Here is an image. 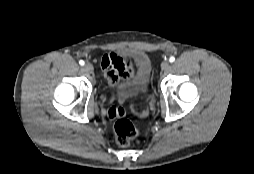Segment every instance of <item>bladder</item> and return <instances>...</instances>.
<instances>
[{
  "instance_id": "obj_1",
  "label": "bladder",
  "mask_w": 254,
  "mask_h": 174,
  "mask_svg": "<svg viewBox=\"0 0 254 174\" xmlns=\"http://www.w3.org/2000/svg\"><path fill=\"white\" fill-rule=\"evenodd\" d=\"M135 69L132 75L120 85L122 95H146L151 88L152 63L149 56L143 51H134Z\"/></svg>"
}]
</instances>
